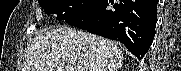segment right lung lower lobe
<instances>
[{
  "instance_id": "1",
  "label": "right lung lower lobe",
  "mask_w": 181,
  "mask_h": 71,
  "mask_svg": "<svg viewBox=\"0 0 181 71\" xmlns=\"http://www.w3.org/2000/svg\"><path fill=\"white\" fill-rule=\"evenodd\" d=\"M158 0H96L65 22L123 43L139 60L155 35Z\"/></svg>"
}]
</instances>
